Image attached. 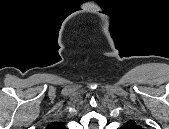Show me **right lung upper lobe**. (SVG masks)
<instances>
[{"mask_svg":"<svg viewBox=\"0 0 169 129\" xmlns=\"http://www.w3.org/2000/svg\"><path fill=\"white\" fill-rule=\"evenodd\" d=\"M47 128L48 129H63L64 126L59 122H53Z\"/></svg>","mask_w":169,"mask_h":129,"instance_id":"1","label":"right lung upper lobe"}]
</instances>
